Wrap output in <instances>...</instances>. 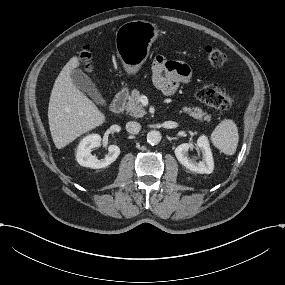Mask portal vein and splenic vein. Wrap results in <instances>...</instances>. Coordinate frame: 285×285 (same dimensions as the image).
<instances>
[{"mask_svg": "<svg viewBox=\"0 0 285 285\" xmlns=\"http://www.w3.org/2000/svg\"><path fill=\"white\" fill-rule=\"evenodd\" d=\"M149 105V100L146 96H142L140 98V106L141 107H147Z\"/></svg>", "mask_w": 285, "mask_h": 285, "instance_id": "obj_1", "label": "portal vein and splenic vein"}]
</instances>
